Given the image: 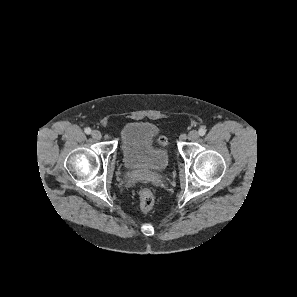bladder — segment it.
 <instances>
[{"instance_id": "obj_1", "label": "bladder", "mask_w": 297, "mask_h": 297, "mask_svg": "<svg viewBox=\"0 0 297 297\" xmlns=\"http://www.w3.org/2000/svg\"><path fill=\"white\" fill-rule=\"evenodd\" d=\"M158 128L149 122L128 123L121 132V153L129 170L140 172H162L169 163L166 149L155 145Z\"/></svg>"}]
</instances>
